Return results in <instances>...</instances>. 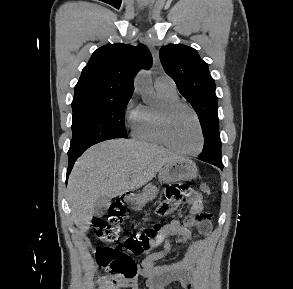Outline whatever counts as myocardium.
Instances as JSON below:
<instances>
[{
  "label": "myocardium",
  "mask_w": 293,
  "mask_h": 289,
  "mask_svg": "<svg viewBox=\"0 0 293 289\" xmlns=\"http://www.w3.org/2000/svg\"><path fill=\"white\" fill-rule=\"evenodd\" d=\"M187 109L192 116L194 117L197 127H198V132H199V145L196 150L194 151H183L179 148H177L171 141L170 136H169V120L170 117L173 115V113L179 109ZM158 125H159V133L161 136V139L163 143L172 151L186 157H194L199 155L205 144V137H204V132H203V127L200 121V118L196 111L188 104L182 102V101H173V102H168L164 103L160 106L158 110Z\"/></svg>",
  "instance_id": "1"
}]
</instances>
